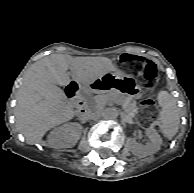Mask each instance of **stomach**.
I'll return each instance as SVG.
<instances>
[{
  "label": "stomach",
  "mask_w": 194,
  "mask_h": 193,
  "mask_svg": "<svg viewBox=\"0 0 194 193\" xmlns=\"http://www.w3.org/2000/svg\"><path fill=\"white\" fill-rule=\"evenodd\" d=\"M90 85L94 89L103 92L120 89L125 94L134 98L140 97L143 93L142 88L132 76L119 72H106L95 79Z\"/></svg>",
  "instance_id": "obj_1"
}]
</instances>
